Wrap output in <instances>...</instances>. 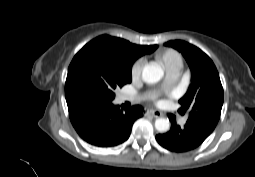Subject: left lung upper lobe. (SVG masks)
I'll list each match as a JSON object with an SVG mask.
<instances>
[{"mask_svg": "<svg viewBox=\"0 0 255 177\" xmlns=\"http://www.w3.org/2000/svg\"><path fill=\"white\" fill-rule=\"evenodd\" d=\"M182 53L191 70V84L179 100V112L188 113L187 123L212 132L220 118L224 93L212 60L199 48L185 41L165 43Z\"/></svg>", "mask_w": 255, "mask_h": 177, "instance_id": "left-lung-upper-lobe-1", "label": "left lung upper lobe"}]
</instances>
